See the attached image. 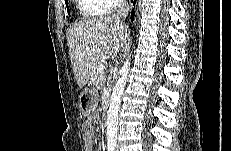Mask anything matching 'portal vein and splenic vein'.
Wrapping results in <instances>:
<instances>
[{"instance_id":"portal-vein-and-splenic-vein-1","label":"portal vein and splenic vein","mask_w":231,"mask_h":151,"mask_svg":"<svg viewBox=\"0 0 231 151\" xmlns=\"http://www.w3.org/2000/svg\"><path fill=\"white\" fill-rule=\"evenodd\" d=\"M98 68L100 72H103L106 68V65L104 63H101Z\"/></svg>"}]
</instances>
